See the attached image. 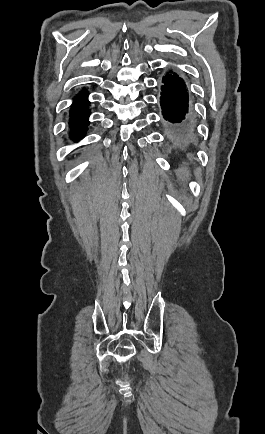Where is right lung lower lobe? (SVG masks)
<instances>
[{
  "mask_svg": "<svg viewBox=\"0 0 265 434\" xmlns=\"http://www.w3.org/2000/svg\"><path fill=\"white\" fill-rule=\"evenodd\" d=\"M89 104L88 93L80 92L75 99L70 109V128L72 132L71 139L75 141L82 138L87 131L89 125Z\"/></svg>",
  "mask_w": 265,
  "mask_h": 434,
  "instance_id": "right-lung-lower-lobe-1",
  "label": "right lung lower lobe"
}]
</instances>
